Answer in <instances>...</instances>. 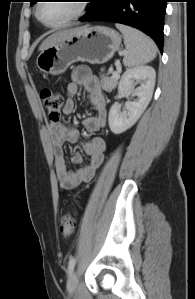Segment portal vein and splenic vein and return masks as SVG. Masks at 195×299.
<instances>
[{
  "instance_id": "portal-vein-and-splenic-vein-1",
  "label": "portal vein and splenic vein",
  "mask_w": 195,
  "mask_h": 299,
  "mask_svg": "<svg viewBox=\"0 0 195 299\" xmlns=\"http://www.w3.org/2000/svg\"><path fill=\"white\" fill-rule=\"evenodd\" d=\"M112 77H113V78H119V77H120V75H119V71H114V72L112 73Z\"/></svg>"
}]
</instances>
